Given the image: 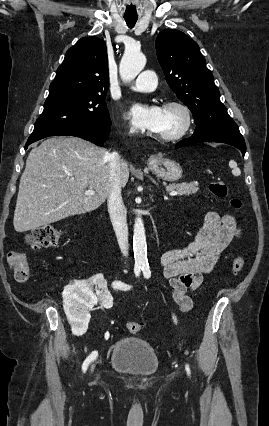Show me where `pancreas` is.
Segmentation results:
<instances>
[{
  "instance_id": "cf45deb5",
  "label": "pancreas",
  "mask_w": 269,
  "mask_h": 426,
  "mask_svg": "<svg viewBox=\"0 0 269 426\" xmlns=\"http://www.w3.org/2000/svg\"><path fill=\"white\" fill-rule=\"evenodd\" d=\"M198 185L199 184L197 182H190L187 184H169L166 186V189L168 191H176L179 196H185L195 194L199 190Z\"/></svg>"
}]
</instances>
